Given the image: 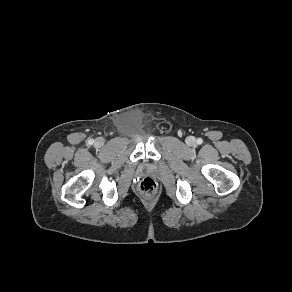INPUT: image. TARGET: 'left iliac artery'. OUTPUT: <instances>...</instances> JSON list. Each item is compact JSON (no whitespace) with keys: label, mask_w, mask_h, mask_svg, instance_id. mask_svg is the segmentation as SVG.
Here are the masks:
<instances>
[{"label":"left iliac artery","mask_w":292,"mask_h":292,"mask_svg":"<svg viewBox=\"0 0 292 292\" xmlns=\"http://www.w3.org/2000/svg\"><path fill=\"white\" fill-rule=\"evenodd\" d=\"M202 142H203V140H202L201 138H198V139H197V143H198V144H202Z\"/></svg>","instance_id":"1"}]
</instances>
